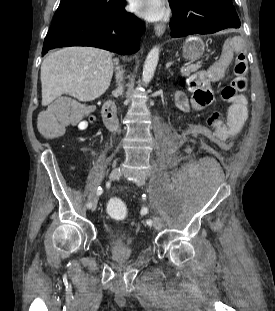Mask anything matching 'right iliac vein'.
Returning a JSON list of instances; mask_svg holds the SVG:
<instances>
[{
	"label": "right iliac vein",
	"mask_w": 275,
	"mask_h": 311,
	"mask_svg": "<svg viewBox=\"0 0 275 311\" xmlns=\"http://www.w3.org/2000/svg\"><path fill=\"white\" fill-rule=\"evenodd\" d=\"M121 173H122L121 168L115 167L110 173V176H109L110 180L114 181V180L119 179L121 176ZM96 207H97V200H94L91 210L94 211Z\"/></svg>",
	"instance_id": "63e3f726"
}]
</instances>
